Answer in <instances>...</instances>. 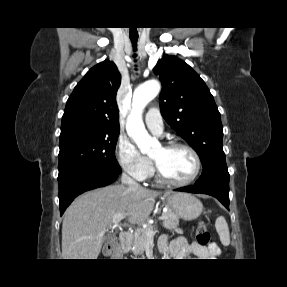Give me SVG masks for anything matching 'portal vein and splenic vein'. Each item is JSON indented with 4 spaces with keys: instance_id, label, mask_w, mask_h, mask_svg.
Returning a JSON list of instances; mask_svg holds the SVG:
<instances>
[{
    "instance_id": "18ae733b",
    "label": "portal vein and splenic vein",
    "mask_w": 287,
    "mask_h": 287,
    "mask_svg": "<svg viewBox=\"0 0 287 287\" xmlns=\"http://www.w3.org/2000/svg\"><path fill=\"white\" fill-rule=\"evenodd\" d=\"M123 218H124V214H123V213H120V214L115 215V216L113 217V224H114V226H120V221H121ZM165 218H166V217L162 214V215L158 218V220H159V221H162V220H164ZM154 233H155V231L153 230V227H152L150 230L146 231V234H147L148 236H152Z\"/></svg>"
}]
</instances>
